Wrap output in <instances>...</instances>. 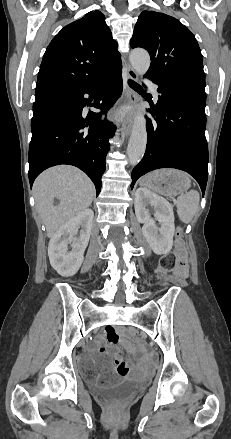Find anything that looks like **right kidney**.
I'll use <instances>...</instances> for the list:
<instances>
[{
	"label": "right kidney",
	"instance_id": "right-kidney-1",
	"mask_svg": "<svg viewBox=\"0 0 231 439\" xmlns=\"http://www.w3.org/2000/svg\"><path fill=\"white\" fill-rule=\"evenodd\" d=\"M94 213L86 209L67 221L52 236L48 246V256L51 266L62 276H73L77 273L84 260V251L88 245ZM81 229L78 239H74L78 229ZM72 250L68 251V244Z\"/></svg>",
	"mask_w": 231,
	"mask_h": 439
}]
</instances>
